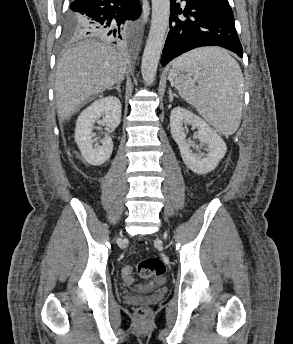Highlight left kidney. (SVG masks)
Masks as SVG:
<instances>
[{"mask_svg": "<svg viewBox=\"0 0 293 344\" xmlns=\"http://www.w3.org/2000/svg\"><path fill=\"white\" fill-rule=\"evenodd\" d=\"M187 125L198 129L199 140L208 147L209 152L204 158L194 154L190 147H195V145L186 141ZM170 128L184 163L196 174L203 175L211 172L226 154V144L218 133L202 118L185 108L176 107L171 111Z\"/></svg>", "mask_w": 293, "mask_h": 344, "instance_id": "left-kidney-1", "label": "left kidney"}]
</instances>
